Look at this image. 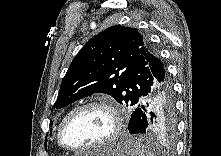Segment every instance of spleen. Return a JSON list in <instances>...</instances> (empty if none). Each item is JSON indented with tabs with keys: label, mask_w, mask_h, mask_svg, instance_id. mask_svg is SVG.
Segmentation results:
<instances>
[{
	"label": "spleen",
	"mask_w": 221,
	"mask_h": 156,
	"mask_svg": "<svg viewBox=\"0 0 221 156\" xmlns=\"http://www.w3.org/2000/svg\"><path fill=\"white\" fill-rule=\"evenodd\" d=\"M132 156H154V153L145 145L141 143V140H130L128 141Z\"/></svg>",
	"instance_id": "1"
}]
</instances>
